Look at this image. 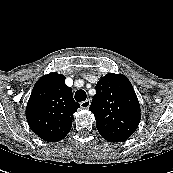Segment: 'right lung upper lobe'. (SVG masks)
Segmentation results:
<instances>
[{"instance_id":"1","label":"right lung upper lobe","mask_w":173,"mask_h":173,"mask_svg":"<svg viewBox=\"0 0 173 173\" xmlns=\"http://www.w3.org/2000/svg\"><path fill=\"white\" fill-rule=\"evenodd\" d=\"M78 107L72 89L65 85V76L54 72L36 82L26 107V118L35 134L45 141L57 142L69 133Z\"/></svg>"}]
</instances>
